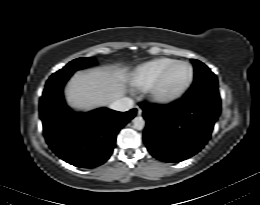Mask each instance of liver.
Segmentation results:
<instances>
[{"label":"liver","mask_w":260,"mask_h":205,"mask_svg":"<svg viewBox=\"0 0 260 205\" xmlns=\"http://www.w3.org/2000/svg\"><path fill=\"white\" fill-rule=\"evenodd\" d=\"M127 68L91 69L76 73L65 89L66 101L77 111L108 106L127 91Z\"/></svg>","instance_id":"liver-1"}]
</instances>
